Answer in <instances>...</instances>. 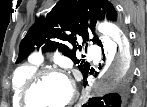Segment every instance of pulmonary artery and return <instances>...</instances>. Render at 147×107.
I'll return each mask as SVG.
<instances>
[{"instance_id":"e3ab8cb5","label":"pulmonary artery","mask_w":147,"mask_h":107,"mask_svg":"<svg viewBox=\"0 0 147 107\" xmlns=\"http://www.w3.org/2000/svg\"><path fill=\"white\" fill-rule=\"evenodd\" d=\"M88 53H89V55H91L93 58H95L96 60L99 58V56H100V51H99V49L98 48H96V47H89V50H88ZM35 61H37V62H42V58L41 57H34L33 58Z\"/></svg>"}]
</instances>
